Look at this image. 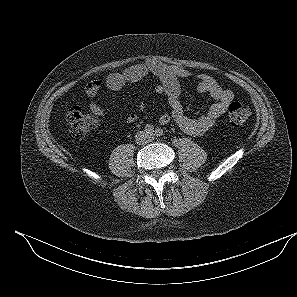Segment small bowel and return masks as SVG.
I'll return each mask as SVG.
<instances>
[{
	"label": "small bowel",
	"mask_w": 297,
	"mask_h": 297,
	"mask_svg": "<svg viewBox=\"0 0 297 297\" xmlns=\"http://www.w3.org/2000/svg\"><path fill=\"white\" fill-rule=\"evenodd\" d=\"M148 76L156 77L159 80L160 83L155 86L154 91L165 95L169 106V111L160 115L159 122L165 125L172 121L181 131L190 136H202L213 129L218 119L226 113L234 101V93L230 89L224 88L211 77L202 76L197 83V90L209 95L215 102L205 115L199 118L187 116L180 99V80L190 77L189 71L162 64L154 59L132 65L122 72L110 74L104 84L110 91H120L127 84L136 83ZM101 87V81H91L86 85L85 92L89 97L94 98L98 95ZM89 110L99 119L105 117L104 109L94 101L89 103ZM126 120L129 124H134L138 121V115L130 113Z\"/></svg>",
	"instance_id": "1"
}]
</instances>
